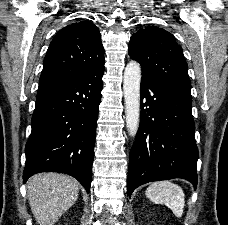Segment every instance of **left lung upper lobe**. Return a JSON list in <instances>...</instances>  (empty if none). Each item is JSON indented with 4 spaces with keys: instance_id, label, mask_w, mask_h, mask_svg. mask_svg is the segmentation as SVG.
Wrapping results in <instances>:
<instances>
[{
    "instance_id": "5c2ea615",
    "label": "left lung upper lobe",
    "mask_w": 228,
    "mask_h": 225,
    "mask_svg": "<svg viewBox=\"0 0 228 225\" xmlns=\"http://www.w3.org/2000/svg\"><path fill=\"white\" fill-rule=\"evenodd\" d=\"M128 53L140 63L142 78L190 93L191 83L182 48L168 31L145 25L132 35Z\"/></svg>"
}]
</instances>
